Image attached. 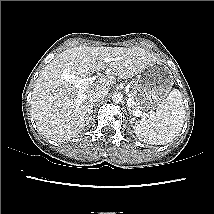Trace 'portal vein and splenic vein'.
<instances>
[{
	"mask_svg": "<svg viewBox=\"0 0 214 214\" xmlns=\"http://www.w3.org/2000/svg\"><path fill=\"white\" fill-rule=\"evenodd\" d=\"M105 61L110 62L111 59L106 58ZM96 78H97L96 76H91L89 78H80L78 76H75V75L68 73L67 71H65L62 74V79L68 80L70 83L74 84L80 90L85 89L88 86V84L94 82V80H96ZM127 104H128V107H131L134 104L132 97L128 98ZM141 114H142V112L139 110L134 111V115L137 117L140 116Z\"/></svg>",
	"mask_w": 214,
	"mask_h": 214,
	"instance_id": "obj_1",
	"label": "portal vein and splenic vein"
}]
</instances>
